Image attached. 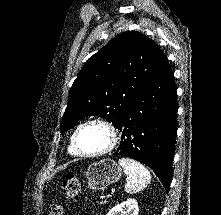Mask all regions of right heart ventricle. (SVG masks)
<instances>
[{
	"instance_id": "right-heart-ventricle-1",
	"label": "right heart ventricle",
	"mask_w": 221,
	"mask_h": 215,
	"mask_svg": "<svg viewBox=\"0 0 221 215\" xmlns=\"http://www.w3.org/2000/svg\"><path fill=\"white\" fill-rule=\"evenodd\" d=\"M68 151H69V153H70L71 155H75V156L78 155V154L75 152L74 148H73L72 137H71V141H70L69 146H68Z\"/></svg>"
}]
</instances>
